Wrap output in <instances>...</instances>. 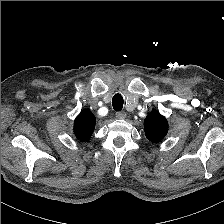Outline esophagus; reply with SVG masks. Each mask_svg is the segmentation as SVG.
Wrapping results in <instances>:
<instances>
[{"mask_svg": "<svg viewBox=\"0 0 224 224\" xmlns=\"http://www.w3.org/2000/svg\"><path fill=\"white\" fill-rule=\"evenodd\" d=\"M126 112H124V111H120V112H117L116 113V118L117 119H125L126 118Z\"/></svg>", "mask_w": 224, "mask_h": 224, "instance_id": "obj_1", "label": "esophagus"}]
</instances>
